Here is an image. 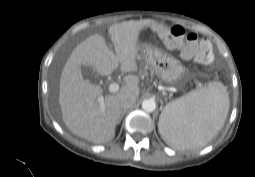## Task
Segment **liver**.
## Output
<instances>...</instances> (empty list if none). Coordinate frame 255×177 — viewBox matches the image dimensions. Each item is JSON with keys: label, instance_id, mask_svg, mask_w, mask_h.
<instances>
[{"label": "liver", "instance_id": "1", "mask_svg": "<svg viewBox=\"0 0 255 177\" xmlns=\"http://www.w3.org/2000/svg\"><path fill=\"white\" fill-rule=\"evenodd\" d=\"M153 24V20H131L111 25L108 31L115 53L98 34L88 37L73 50L59 84L62 119L72 133L95 144L114 138L123 112L121 100L128 95L139 96V78L125 76L119 92L104 98L100 86L83 79L81 66L93 67L101 76L110 75L119 65L122 72H136L140 32ZM100 97H103L102 104Z\"/></svg>", "mask_w": 255, "mask_h": 177}]
</instances>
